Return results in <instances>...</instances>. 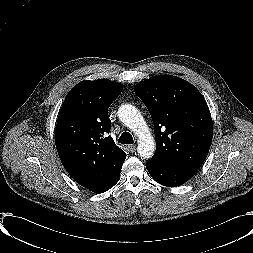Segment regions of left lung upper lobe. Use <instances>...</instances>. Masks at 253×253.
<instances>
[{
	"instance_id": "left-lung-upper-lobe-1",
	"label": "left lung upper lobe",
	"mask_w": 253,
	"mask_h": 253,
	"mask_svg": "<svg viewBox=\"0 0 253 253\" xmlns=\"http://www.w3.org/2000/svg\"><path fill=\"white\" fill-rule=\"evenodd\" d=\"M134 91L154 122L156 152L147 163L198 170L213 135L211 114L202 94L171 75L153 76L137 84Z\"/></svg>"
}]
</instances>
